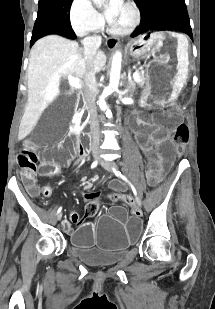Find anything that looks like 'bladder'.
Returning a JSON list of instances; mask_svg holds the SVG:
<instances>
[{
	"mask_svg": "<svg viewBox=\"0 0 215 309\" xmlns=\"http://www.w3.org/2000/svg\"><path fill=\"white\" fill-rule=\"evenodd\" d=\"M79 259L90 266H112L120 262L124 256V252L107 254V253H81L78 252Z\"/></svg>",
	"mask_w": 215,
	"mask_h": 309,
	"instance_id": "31cf9c89",
	"label": "bladder"
}]
</instances>
